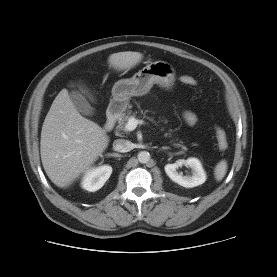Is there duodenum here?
<instances>
[{
    "label": "duodenum",
    "instance_id": "1",
    "mask_svg": "<svg viewBox=\"0 0 277 277\" xmlns=\"http://www.w3.org/2000/svg\"><path fill=\"white\" fill-rule=\"evenodd\" d=\"M121 114V106L119 103H113L110 105L107 113V120L104 125L105 131H111Z\"/></svg>",
    "mask_w": 277,
    "mask_h": 277
}]
</instances>
